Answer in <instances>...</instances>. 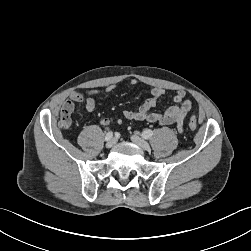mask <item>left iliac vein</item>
<instances>
[{
  "label": "left iliac vein",
  "mask_w": 251,
  "mask_h": 251,
  "mask_svg": "<svg viewBox=\"0 0 251 251\" xmlns=\"http://www.w3.org/2000/svg\"><path fill=\"white\" fill-rule=\"evenodd\" d=\"M131 140H132V142H134L137 146H139L143 150L150 149V145L148 144V142H146L144 139H142L141 137H139L137 135H132Z\"/></svg>",
  "instance_id": "left-iliac-vein-1"
}]
</instances>
